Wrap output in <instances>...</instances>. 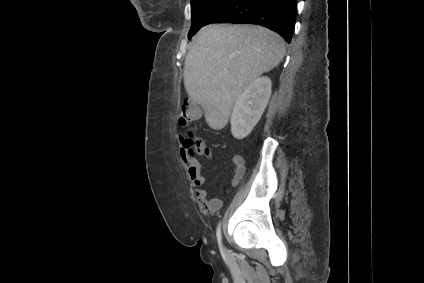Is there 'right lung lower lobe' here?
<instances>
[{
  "label": "right lung lower lobe",
  "mask_w": 424,
  "mask_h": 283,
  "mask_svg": "<svg viewBox=\"0 0 424 283\" xmlns=\"http://www.w3.org/2000/svg\"><path fill=\"white\" fill-rule=\"evenodd\" d=\"M297 11V0H228L206 23L256 24L291 41ZM192 35H189L190 39Z\"/></svg>",
  "instance_id": "1"
}]
</instances>
